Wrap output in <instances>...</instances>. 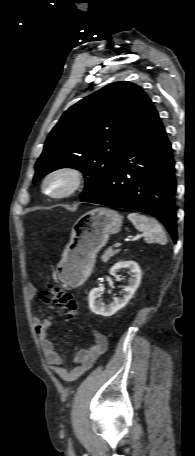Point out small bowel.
Listing matches in <instances>:
<instances>
[{"mask_svg":"<svg viewBox=\"0 0 195 456\" xmlns=\"http://www.w3.org/2000/svg\"><path fill=\"white\" fill-rule=\"evenodd\" d=\"M28 297L33 300L36 296V288L29 285L27 288ZM53 316L44 319L35 317L33 319L35 330L39 338L41 350L49 367L65 382H72L88 371L95 361L107 350L108 342L105 335L94 331V340L88 349L79 350L74 359L73 365L66 367L63 358L55 349L54 343L49 339L48 334L52 325Z\"/></svg>","mask_w":195,"mask_h":456,"instance_id":"c3829d8e","label":"small bowel"}]
</instances>
